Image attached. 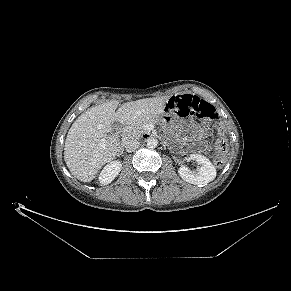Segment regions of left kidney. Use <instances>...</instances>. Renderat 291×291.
I'll return each mask as SVG.
<instances>
[{
	"label": "left kidney",
	"instance_id": "obj_1",
	"mask_svg": "<svg viewBox=\"0 0 291 291\" xmlns=\"http://www.w3.org/2000/svg\"><path fill=\"white\" fill-rule=\"evenodd\" d=\"M188 159L196 161L200 167L192 171L186 166H181L178 173L184 181L194 185H205L215 179L216 169L207 157L200 154H191Z\"/></svg>",
	"mask_w": 291,
	"mask_h": 291
}]
</instances>
